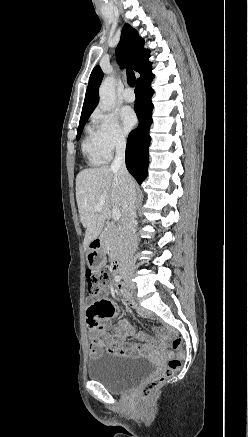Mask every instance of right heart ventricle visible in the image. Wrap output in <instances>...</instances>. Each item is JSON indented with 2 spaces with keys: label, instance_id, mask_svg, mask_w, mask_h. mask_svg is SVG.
<instances>
[{
  "label": "right heart ventricle",
  "instance_id": "obj_1",
  "mask_svg": "<svg viewBox=\"0 0 248 437\" xmlns=\"http://www.w3.org/2000/svg\"><path fill=\"white\" fill-rule=\"evenodd\" d=\"M82 150L87 160L92 165H100L107 160L96 144L91 127H88L86 130V136L82 143Z\"/></svg>",
  "mask_w": 248,
  "mask_h": 437
}]
</instances>
